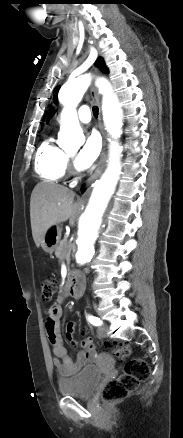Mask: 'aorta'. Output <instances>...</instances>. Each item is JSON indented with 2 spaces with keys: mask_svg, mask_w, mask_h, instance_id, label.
<instances>
[{
  "mask_svg": "<svg viewBox=\"0 0 183 438\" xmlns=\"http://www.w3.org/2000/svg\"><path fill=\"white\" fill-rule=\"evenodd\" d=\"M89 84L90 76L81 75L69 79L59 91L58 98L64 108L61 113L58 144L63 149H66L68 143L75 141L77 135L81 132L76 106L81 101ZM100 90L104 95L102 105L104 122L113 137H117L120 135L122 127V110L108 82L102 81ZM120 151L119 144L112 143L108 169L101 179L95 183L86 208L79 217L78 249L75 255L78 265H85L94 257V243L103 230L110 200L121 171Z\"/></svg>",
  "mask_w": 183,
  "mask_h": 438,
  "instance_id": "obj_1",
  "label": "aorta"
}]
</instances>
